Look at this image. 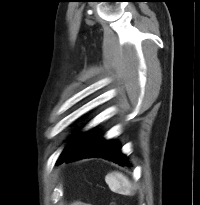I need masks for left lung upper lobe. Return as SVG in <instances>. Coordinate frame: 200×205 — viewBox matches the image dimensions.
Instances as JSON below:
<instances>
[{"instance_id":"1","label":"left lung upper lobe","mask_w":200,"mask_h":205,"mask_svg":"<svg viewBox=\"0 0 200 205\" xmlns=\"http://www.w3.org/2000/svg\"><path fill=\"white\" fill-rule=\"evenodd\" d=\"M86 134L87 133H83V134L78 135L76 138H74L67 145V147L62 152V154L58 160V163H60L61 160H63L65 157H67L83 141V139L86 137Z\"/></svg>"}]
</instances>
